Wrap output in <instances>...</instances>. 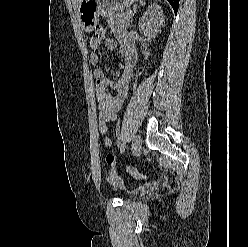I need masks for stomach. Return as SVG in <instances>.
<instances>
[{"label": "stomach", "instance_id": "1", "mask_svg": "<svg viewBox=\"0 0 248 247\" xmlns=\"http://www.w3.org/2000/svg\"><path fill=\"white\" fill-rule=\"evenodd\" d=\"M138 0H82L76 10L78 20L86 32L98 24L100 15L107 16L116 10L125 9Z\"/></svg>", "mask_w": 248, "mask_h": 247}]
</instances>
